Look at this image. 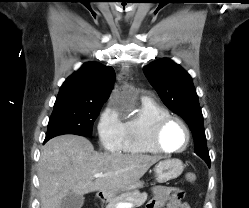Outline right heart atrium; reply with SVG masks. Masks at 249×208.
Instances as JSON below:
<instances>
[{"mask_svg":"<svg viewBox=\"0 0 249 208\" xmlns=\"http://www.w3.org/2000/svg\"><path fill=\"white\" fill-rule=\"evenodd\" d=\"M123 125L119 109L116 105H108L101 113L97 125L98 136L104 149L110 152L121 150L123 141Z\"/></svg>","mask_w":249,"mask_h":208,"instance_id":"d8ad5b80","label":"right heart atrium"}]
</instances>
